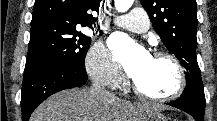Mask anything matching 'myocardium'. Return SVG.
Masks as SVG:
<instances>
[{"label": "myocardium", "mask_w": 217, "mask_h": 121, "mask_svg": "<svg viewBox=\"0 0 217 121\" xmlns=\"http://www.w3.org/2000/svg\"><path fill=\"white\" fill-rule=\"evenodd\" d=\"M151 57L156 59H165L171 63L176 72V84L167 94L155 95L142 90L136 81L132 79V88L134 92L145 100L162 103L170 102L180 97L185 91L187 85V75L180 60L172 53L166 51H157Z\"/></svg>", "instance_id": "myocardium-1"}]
</instances>
